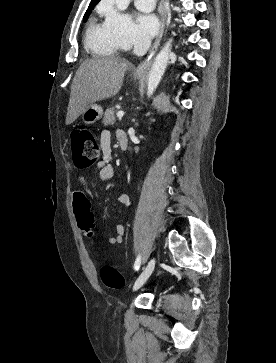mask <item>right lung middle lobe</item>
Segmentation results:
<instances>
[{
    "instance_id": "right-lung-middle-lobe-1",
    "label": "right lung middle lobe",
    "mask_w": 276,
    "mask_h": 363,
    "mask_svg": "<svg viewBox=\"0 0 276 363\" xmlns=\"http://www.w3.org/2000/svg\"><path fill=\"white\" fill-rule=\"evenodd\" d=\"M93 8H94V7H90V8H88V9H87V11H86V13H85V15H84V18H83V20H84V21H86V20L88 19V17H89V15L91 14V12H92Z\"/></svg>"
}]
</instances>
